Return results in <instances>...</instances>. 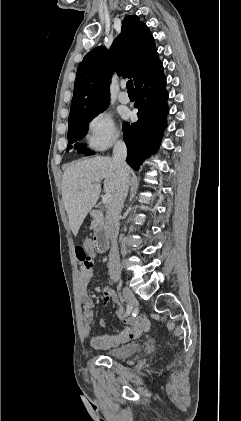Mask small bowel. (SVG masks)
<instances>
[{
	"label": "small bowel",
	"mask_w": 241,
	"mask_h": 421,
	"mask_svg": "<svg viewBox=\"0 0 241 421\" xmlns=\"http://www.w3.org/2000/svg\"><path fill=\"white\" fill-rule=\"evenodd\" d=\"M93 277V265L87 266L82 264L78 271V284H79V298L82 306L84 307L83 321L84 332L90 344L96 349H109L127 343L132 339L138 338L149 328V320L145 315L131 317L127 320V325L114 333H105L99 336L91 334V324L94 320V303L88 290V284ZM96 291L101 292L103 295L104 303L109 301H118L116 293L108 288L96 287ZM102 325L107 327V323L103 320Z\"/></svg>",
	"instance_id": "obj_1"
}]
</instances>
